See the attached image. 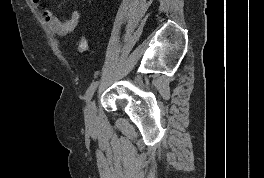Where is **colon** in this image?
Returning a JSON list of instances; mask_svg holds the SVG:
<instances>
[{
    "instance_id": "5ec220e1",
    "label": "colon",
    "mask_w": 264,
    "mask_h": 178,
    "mask_svg": "<svg viewBox=\"0 0 264 178\" xmlns=\"http://www.w3.org/2000/svg\"><path fill=\"white\" fill-rule=\"evenodd\" d=\"M88 39L85 36H82L77 41L76 47L80 54H84L88 51Z\"/></svg>"
}]
</instances>
